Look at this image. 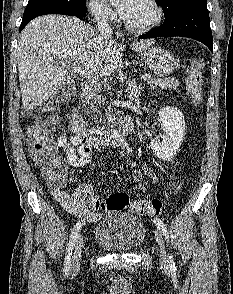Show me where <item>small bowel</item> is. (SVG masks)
I'll list each match as a JSON object with an SVG mask.
<instances>
[{"instance_id":"1","label":"small bowel","mask_w":233,"mask_h":294,"mask_svg":"<svg viewBox=\"0 0 233 294\" xmlns=\"http://www.w3.org/2000/svg\"><path fill=\"white\" fill-rule=\"evenodd\" d=\"M57 144L64 151L67 163L70 166L81 167L91 162L92 146L83 141L77 134L74 133L69 139L61 137ZM143 175L157 180V176L147 166H142L136 170L133 174V180L138 181ZM50 187L53 198L76 218L89 223L99 219L100 214L95 212V209L91 206L93 200L99 199L93 194V183L83 182L72 192H68L64 187H55L51 183Z\"/></svg>"}]
</instances>
